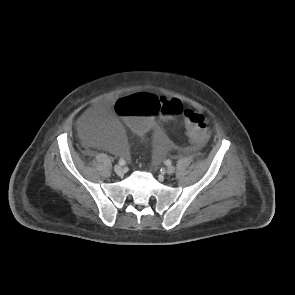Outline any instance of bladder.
Masks as SVG:
<instances>
[{"instance_id": "bladder-1", "label": "bladder", "mask_w": 295, "mask_h": 295, "mask_svg": "<svg viewBox=\"0 0 295 295\" xmlns=\"http://www.w3.org/2000/svg\"><path fill=\"white\" fill-rule=\"evenodd\" d=\"M77 130L86 142L95 147L105 149L116 158H125L130 151L128 139L120 123L107 107L102 105H91L79 114L77 119ZM156 159L163 161L166 154V143L163 140L156 142Z\"/></svg>"}]
</instances>
